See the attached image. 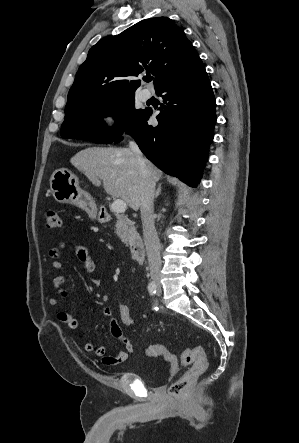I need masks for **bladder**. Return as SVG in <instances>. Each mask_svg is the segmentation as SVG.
<instances>
[{"label":"bladder","instance_id":"bladder-1","mask_svg":"<svg viewBox=\"0 0 299 443\" xmlns=\"http://www.w3.org/2000/svg\"><path fill=\"white\" fill-rule=\"evenodd\" d=\"M133 373L136 374L143 382L149 385L159 384L160 382L164 381L169 374L168 371L157 373L154 370L139 367V365L134 368Z\"/></svg>","mask_w":299,"mask_h":443}]
</instances>
